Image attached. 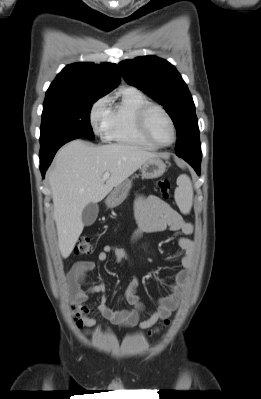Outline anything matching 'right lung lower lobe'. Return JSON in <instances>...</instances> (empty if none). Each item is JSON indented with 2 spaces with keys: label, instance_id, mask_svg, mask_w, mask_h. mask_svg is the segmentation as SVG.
I'll use <instances>...</instances> for the list:
<instances>
[{
  "label": "right lung lower lobe",
  "instance_id": "right-lung-lower-lobe-1",
  "mask_svg": "<svg viewBox=\"0 0 261 399\" xmlns=\"http://www.w3.org/2000/svg\"><path fill=\"white\" fill-rule=\"evenodd\" d=\"M82 136L78 134H73V133H65L62 135H59L52 140L48 141L47 143L41 145V150H40V170L42 173V176L44 177L46 169L52 162L55 153L57 150L64 145L65 143L80 138Z\"/></svg>",
  "mask_w": 261,
  "mask_h": 399
}]
</instances>
